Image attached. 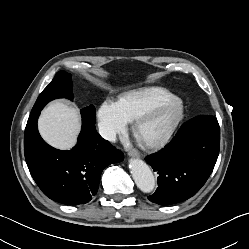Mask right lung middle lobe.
<instances>
[{"mask_svg": "<svg viewBox=\"0 0 249 249\" xmlns=\"http://www.w3.org/2000/svg\"><path fill=\"white\" fill-rule=\"evenodd\" d=\"M61 97L68 98L70 100L73 99L71 75L63 71L56 73L52 82L48 84L39 95L32 111L38 108L42 109L49 101ZM95 113L96 110L93 105L81 110L82 119L91 123L96 122Z\"/></svg>", "mask_w": 249, "mask_h": 249, "instance_id": "1", "label": "right lung middle lobe"}]
</instances>
